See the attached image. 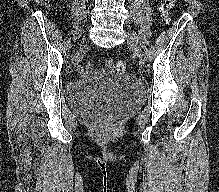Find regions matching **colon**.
<instances>
[{"instance_id": "obj_1", "label": "colon", "mask_w": 219, "mask_h": 192, "mask_svg": "<svg viewBox=\"0 0 219 192\" xmlns=\"http://www.w3.org/2000/svg\"><path fill=\"white\" fill-rule=\"evenodd\" d=\"M34 1L39 5H48L50 2V0H34ZM176 1L177 0H162L159 10L163 17L166 18L168 16L169 11L174 6ZM108 64L114 67V69L120 74H123L128 66V62L125 60H119L116 62L110 60L108 61Z\"/></svg>"}]
</instances>
